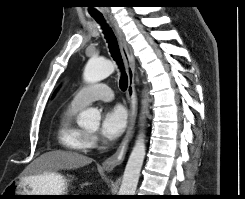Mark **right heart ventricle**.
I'll return each instance as SVG.
<instances>
[{"label":"right heart ventricle","mask_w":245,"mask_h":199,"mask_svg":"<svg viewBox=\"0 0 245 199\" xmlns=\"http://www.w3.org/2000/svg\"><path fill=\"white\" fill-rule=\"evenodd\" d=\"M81 109L69 104L61 113L58 122V139L61 145L72 153H84L91 148L89 135L75 122Z\"/></svg>","instance_id":"right-heart-ventricle-1"}]
</instances>
